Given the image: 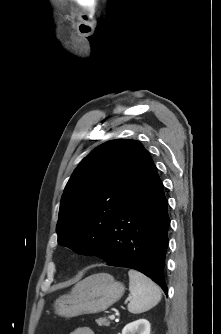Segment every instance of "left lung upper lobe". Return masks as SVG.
I'll list each match as a JSON object with an SVG mask.
<instances>
[{"label": "left lung upper lobe", "instance_id": "1", "mask_svg": "<svg viewBox=\"0 0 221 334\" xmlns=\"http://www.w3.org/2000/svg\"><path fill=\"white\" fill-rule=\"evenodd\" d=\"M152 164L136 140H111L95 148L65 187L56 227L58 243L78 254L101 256L114 217Z\"/></svg>", "mask_w": 221, "mask_h": 334}]
</instances>
